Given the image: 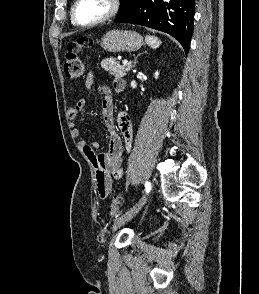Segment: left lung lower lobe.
<instances>
[{"mask_svg":"<svg viewBox=\"0 0 259 294\" xmlns=\"http://www.w3.org/2000/svg\"><path fill=\"white\" fill-rule=\"evenodd\" d=\"M195 0H135L134 7L114 22L146 26L176 38L189 50L193 33Z\"/></svg>","mask_w":259,"mask_h":294,"instance_id":"0a47b994","label":"left lung lower lobe"}]
</instances>
